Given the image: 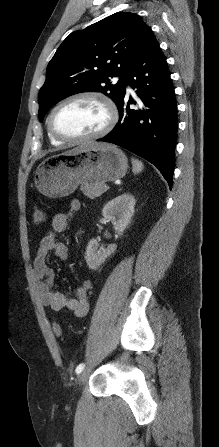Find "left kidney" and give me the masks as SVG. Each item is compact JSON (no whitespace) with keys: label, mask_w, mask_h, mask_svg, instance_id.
Wrapping results in <instances>:
<instances>
[{"label":"left kidney","mask_w":219,"mask_h":447,"mask_svg":"<svg viewBox=\"0 0 219 447\" xmlns=\"http://www.w3.org/2000/svg\"><path fill=\"white\" fill-rule=\"evenodd\" d=\"M135 199L129 193H124L109 201L102 210L104 221H111L118 235L121 236L129 225L134 214ZM117 249L116 244H109L107 248L99 247L96 239L89 241L85 259L88 267L96 270Z\"/></svg>","instance_id":"obj_1"}]
</instances>
